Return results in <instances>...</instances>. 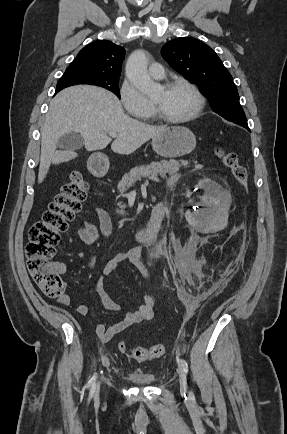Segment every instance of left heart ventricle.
Here are the masks:
<instances>
[{"label":"left heart ventricle","mask_w":287,"mask_h":434,"mask_svg":"<svg viewBox=\"0 0 287 434\" xmlns=\"http://www.w3.org/2000/svg\"><path fill=\"white\" fill-rule=\"evenodd\" d=\"M152 100L168 117L180 118L188 115L195 106V97L184 87L164 89L160 87L153 95Z\"/></svg>","instance_id":"left-heart-ventricle-1"}]
</instances>
